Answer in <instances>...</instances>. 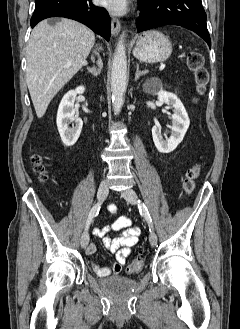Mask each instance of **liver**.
<instances>
[{
    "label": "liver",
    "instance_id": "6515ba94",
    "mask_svg": "<svg viewBox=\"0 0 240 329\" xmlns=\"http://www.w3.org/2000/svg\"><path fill=\"white\" fill-rule=\"evenodd\" d=\"M94 33L69 19L51 25L47 20L33 29L26 48V82L38 118L60 89L86 65Z\"/></svg>",
    "mask_w": 240,
    "mask_h": 329
}]
</instances>
